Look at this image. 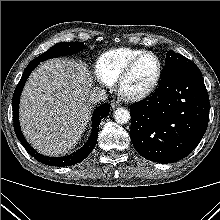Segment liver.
<instances>
[{"label":"liver","instance_id":"liver-1","mask_svg":"<svg viewBox=\"0 0 220 220\" xmlns=\"http://www.w3.org/2000/svg\"><path fill=\"white\" fill-rule=\"evenodd\" d=\"M93 79L82 63L51 59L30 75L20 100V125L27 141L44 155L71 150L89 121Z\"/></svg>","mask_w":220,"mask_h":220}]
</instances>
